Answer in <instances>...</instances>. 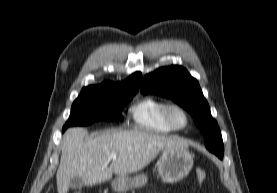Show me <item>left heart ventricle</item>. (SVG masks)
I'll return each mask as SVG.
<instances>
[{
  "label": "left heart ventricle",
  "mask_w": 277,
  "mask_h": 193,
  "mask_svg": "<svg viewBox=\"0 0 277 193\" xmlns=\"http://www.w3.org/2000/svg\"><path fill=\"white\" fill-rule=\"evenodd\" d=\"M173 119L178 126H183L186 121L184 115L180 111L173 112Z\"/></svg>",
  "instance_id": "obj_1"
}]
</instances>
